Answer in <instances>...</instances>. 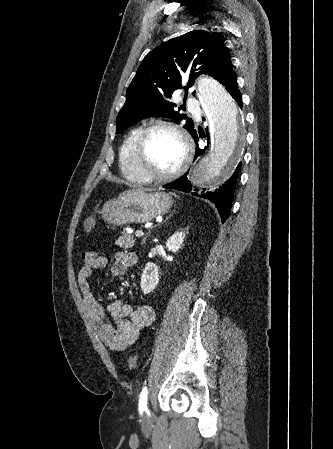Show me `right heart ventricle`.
Wrapping results in <instances>:
<instances>
[{
  "label": "right heart ventricle",
  "instance_id": "1",
  "mask_svg": "<svg viewBox=\"0 0 333 449\" xmlns=\"http://www.w3.org/2000/svg\"><path fill=\"white\" fill-rule=\"evenodd\" d=\"M142 129V127L137 126L128 132L119 150V162L125 178L145 183L148 181L138 173L134 161V147Z\"/></svg>",
  "mask_w": 333,
  "mask_h": 449
}]
</instances>
